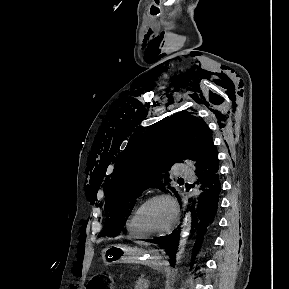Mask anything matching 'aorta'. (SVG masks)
Instances as JSON below:
<instances>
[{"mask_svg": "<svg viewBox=\"0 0 289 289\" xmlns=\"http://www.w3.org/2000/svg\"><path fill=\"white\" fill-rule=\"evenodd\" d=\"M191 222H192L191 212H187L182 223L181 238L179 241V247H178L176 258H175L176 265H175V268L172 269V278H174L175 275L177 274V271H178L177 266L180 264L181 259L183 258V254L185 252V248L188 242V236L192 228Z\"/></svg>", "mask_w": 289, "mask_h": 289, "instance_id": "762f6f07", "label": "aorta"}]
</instances>
